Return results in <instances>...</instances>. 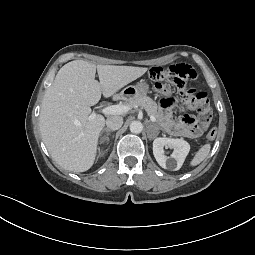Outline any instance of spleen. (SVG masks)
<instances>
[{
    "mask_svg": "<svg viewBox=\"0 0 255 255\" xmlns=\"http://www.w3.org/2000/svg\"><path fill=\"white\" fill-rule=\"evenodd\" d=\"M210 149H211L210 143H206L202 145L200 149L196 152L193 159L191 160L190 165L197 166L198 164L203 162L206 159V157L209 155Z\"/></svg>",
    "mask_w": 255,
    "mask_h": 255,
    "instance_id": "3e777b00",
    "label": "spleen"
}]
</instances>
